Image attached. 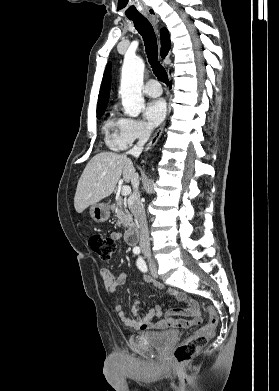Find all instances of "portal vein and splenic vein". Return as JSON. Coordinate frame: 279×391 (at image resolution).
Masks as SVG:
<instances>
[{
    "instance_id": "18ae733b",
    "label": "portal vein and splenic vein",
    "mask_w": 279,
    "mask_h": 391,
    "mask_svg": "<svg viewBox=\"0 0 279 391\" xmlns=\"http://www.w3.org/2000/svg\"><path fill=\"white\" fill-rule=\"evenodd\" d=\"M131 193V188L129 186H123L121 194L122 196L129 195Z\"/></svg>"
}]
</instances>
